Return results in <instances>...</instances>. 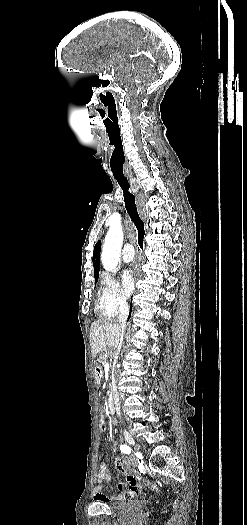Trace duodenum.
Returning a JSON list of instances; mask_svg holds the SVG:
<instances>
[{"label":"duodenum","instance_id":"duodenum-1","mask_svg":"<svg viewBox=\"0 0 247 525\" xmlns=\"http://www.w3.org/2000/svg\"><path fill=\"white\" fill-rule=\"evenodd\" d=\"M95 375L98 378H100L102 375V370L99 366L95 367ZM108 407H109V411L113 414L115 412V405H114V398L112 394H110L108 398Z\"/></svg>","mask_w":247,"mask_h":525}]
</instances>
